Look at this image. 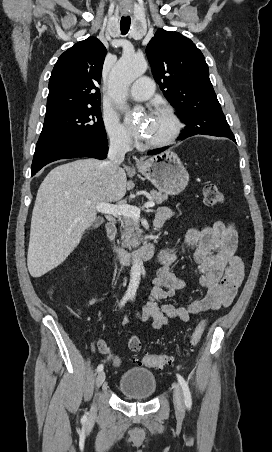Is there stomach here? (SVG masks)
Masks as SVG:
<instances>
[{
	"label": "stomach",
	"instance_id": "0dacf381",
	"mask_svg": "<svg viewBox=\"0 0 272 452\" xmlns=\"http://www.w3.org/2000/svg\"><path fill=\"white\" fill-rule=\"evenodd\" d=\"M141 172L160 192L177 195L188 182L189 174L178 155L167 150L138 164Z\"/></svg>",
	"mask_w": 272,
	"mask_h": 452
}]
</instances>
